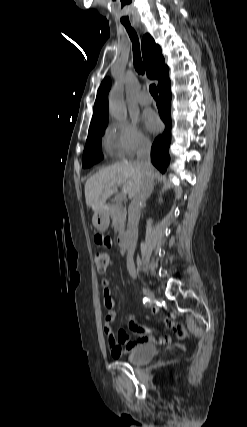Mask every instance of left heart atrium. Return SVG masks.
I'll use <instances>...</instances> for the list:
<instances>
[{
	"mask_svg": "<svg viewBox=\"0 0 247 427\" xmlns=\"http://www.w3.org/2000/svg\"><path fill=\"white\" fill-rule=\"evenodd\" d=\"M145 125L148 130L157 132L161 128V122L155 114H148L145 118Z\"/></svg>",
	"mask_w": 247,
	"mask_h": 427,
	"instance_id": "1",
	"label": "left heart atrium"
}]
</instances>
